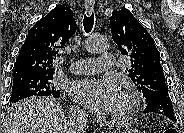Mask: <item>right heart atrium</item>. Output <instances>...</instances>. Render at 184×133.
Wrapping results in <instances>:
<instances>
[{"label":"right heart atrium","instance_id":"d8ad5b80","mask_svg":"<svg viewBox=\"0 0 184 133\" xmlns=\"http://www.w3.org/2000/svg\"><path fill=\"white\" fill-rule=\"evenodd\" d=\"M75 110L79 111V108L75 107Z\"/></svg>","mask_w":184,"mask_h":133}]
</instances>
